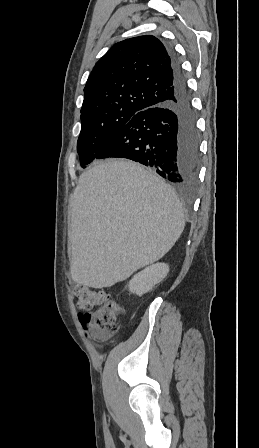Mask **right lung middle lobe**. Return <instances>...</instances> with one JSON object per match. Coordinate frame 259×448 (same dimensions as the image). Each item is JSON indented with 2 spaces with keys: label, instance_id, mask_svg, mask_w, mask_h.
I'll return each mask as SVG.
<instances>
[{
  "label": "right lung middle lobe",
  "instance_id": "dd1d6c3e",
  "mask_svg": "<svg viewBox=\"0 0 259 448\" xmlns=\"http://www.w3.org/2000/svg\"><path fill=\"white\" fill-rule=\"evenodd\" d=\"M138 110L115 113H87L81 115V132L77 151L82 168L91 163L114 139L118 132L134 117Z\"/></svg>",
  "mask_w": 259,
  "mask_h": 448
}]
</instances>
